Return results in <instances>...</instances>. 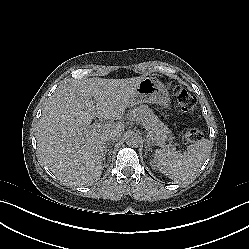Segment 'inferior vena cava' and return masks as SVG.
<instances>
[{
  "label": "inferior vena cava",
  "mask_w": 249,
  "mask_h": 249,
  "mask_svg": "<svg viewBox=\"0 0 249 249\" xmlns=\"http://www.w3.org/2000/svg\"><path fill=\"white\" fill-rule=\"evenodd\" d=\"M119 137H120V134H118V132H111V133L105 134L103 137V140L106 143L107 141L117 140Z\"/></svg>",
  "instance_id": "obj_1"
}]
</instances>
